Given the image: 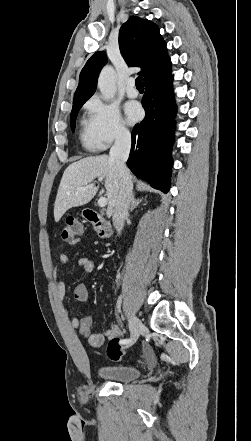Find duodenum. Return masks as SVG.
Returning <instances> with one entry per match:
<instances>
[{
    "mask_svg": "<svg viewBox=\"0 0 251 441\" xmlns=\"http://www.w3.org/2000/svg\"><path fill=\"white\" fill-rule=\"evenodd\" d=\"M84 217L95 228L97 235L102 239H108L112 235L111 225L95 210L86 209Z\"/></svg>",
    "mask_w": 251,
    "mask_h": 441,
    "instance_id": "obj_1",
    "label": "duodenum"
}]
</instances>
